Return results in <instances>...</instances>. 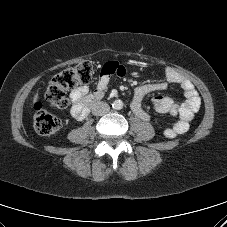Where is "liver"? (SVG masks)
I'll list each match as a JSON object with an SVG mask.
<instances>
[{"label": "liver", "instance_id": "6515ba94", "mask_svg": "<svg viewBox=\"0 0 227 227\" xmlns=\"http://www.w3.org/2000/svg\"><path fill=\"white\" fill-rule=\"evenodd\" d=\"M38 92L34 95V98H33V102H35V101H37V99H38Z\"/></svg>", "mask_w": 227, "mask_h": 227}]
</instances>
